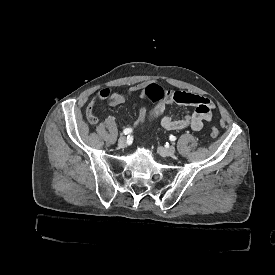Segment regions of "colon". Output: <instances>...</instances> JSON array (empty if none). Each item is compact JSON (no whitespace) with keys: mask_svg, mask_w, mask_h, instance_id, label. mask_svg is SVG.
<instances>
[{"mask_svg":"<svg viewBox=\"0 0 275 275\" xmlns=\"http://www.w3.org/2000/svg\"><path fill=\"white\" fill-rule=\"evenodd\" d=\"M146 92H147V94H146L147 103H144V110L145 111H140L139 119H144L145 113H148L147 107L151 108L153 106L154 95L159 99H162L164 97V94L162 93L163 92V87L159 83H156L153 86H149L146 89ZM86 112H87L88 120L91 123H95L97 121V119H96L95 115L93 114V109L88 108ZM218 134H219V131H218L217 127H215V126L212 127L211 132H210L211 137L213 139H216L218 137Z\"/></svg>","mask_w":275,"mask_h":275,"instance_id":"obj_1","label":"colon"}]
</instances>
